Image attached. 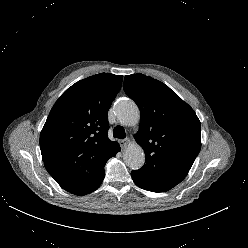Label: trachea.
<instances>
[{"label":"trachea","mask_w":248,"mask_h":248,"mask_svg":"<svg viewBox=\"0 0 248 248\" xmlns=\"http://www.w3.org/2000/svg\"><path fill=\"white\" fill-rule=\"evenodd\" d=\"M113 136L115 138L124 139L126 137L124 128L122 126H116L113 130Z\"/></svg>","instance_id":"1"}]
</instances>
